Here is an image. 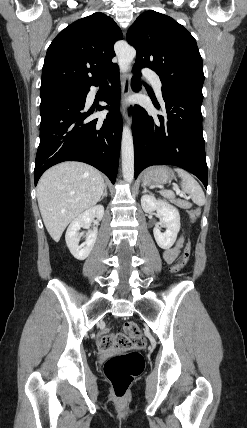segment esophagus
Masks as SVG:
<instances>
[{
    "instance_id": "esophagus-1",
    "label": "esophagus",
    "mask_w": 247,
    "mask_h": 428,
    "mask_svg": "<svg viewBox=\"0 0 247 428\" xmlns=\"http://www.w3.org/2000/svg\"><path fill=\"white\" fill-rule=\"evenodd\" d=\"M131 70L129 69L122 77L121 85H122V98L123 102V111L122 115L124 119L127 121L129 125L132 122V107L130 104L125 103V99L129 96L131 91Z\"/></svg>"
}]
</instances>
